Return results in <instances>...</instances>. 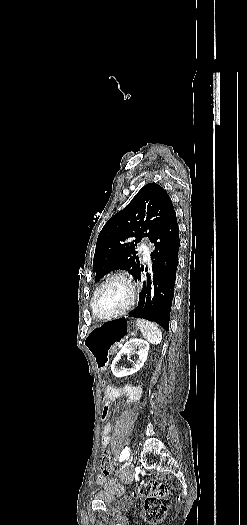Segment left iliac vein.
<instances>
[{
	"mask_svg": "<svg viewBox=\"0 0 247 525\" xmlns=\"http://www.w3.org/2000/svg\"><path fill=\"white\" fill-rule=\"evenodd\" d=\"M134 460V456L131 455L130 457L127 458V460L125 461V463L120 467V469L117 471V474L124 471L125 469H127L131 463L133 462Z\"/></svg>",
	"mask_w": 247,
	"mask_h": 525,
	"instance_id": "4c4485c4",
	"label": "left iliac vein"
}]
</instances>
